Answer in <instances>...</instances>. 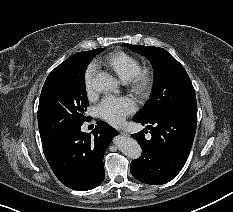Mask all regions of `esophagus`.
<instances>
[{
  "instance_id": "obj_1",
  "label": "esophagus",
  "mask_w": 233,
  "mask_h": 212,
  "mask_svg": "<svg viewBox=\"0 0 233 212\" xmlns=\"http://www.w3.org/2000/svg\"><path fill=\"white\" fill-rule=\"evenodd\" d=\"M120 133L123 135V136H128V132H126L125 130H120Z\"/></svg>"
}]
</instances>
